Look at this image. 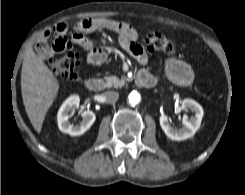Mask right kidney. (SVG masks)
Segmentation results:
<instances>
[{
  "instance_id": "obj_1",
  "label": "right kidney",
  "mask_w": 245,
  "mask_h": 195,
  "mask_svg": "<svg viewBox=\"0 0 245 195\" xmlns=\"http://www.w3.org/2000/svg\"><path fill=\"white\" fill-rule=\"evenodd\" d=\"M80 99L77 95L68 97L61 105L58 115V127L63 133L71 136H80L84 134L94 123L96 116L94 112L87 110L81 113L82 121L78 125L69 122V113L79 108Z\"/></svg>"
}]
</instances>
